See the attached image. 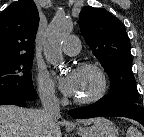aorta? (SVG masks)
Here are the masks:
<instances>
[{"label": "aorta", "mask_w": 144, "mask_h": 137, "mask_svg": "<svg viewBox=\"0 0 144 137\" xmlns=\"http://www.w3.org/2000/svg\"><path fill=\"white\" fill-rule=\"evenodd\" d=\"M72 27L71 20L65 16H55L49 24L44 40V56L50 64L56 66L62 63V43Z\"/></svg>", "instance_id": "aorta-1"}]
</instances>
